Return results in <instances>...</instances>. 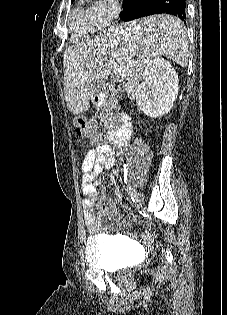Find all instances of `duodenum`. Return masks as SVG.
I'll return each instance as SVG.
<instances>
[{
  "mask_svg": "<svg viewBox=\"0 0 227 315\" xmlns=\"http://www.w3.org/2000/svg\"><path fill=\"white\" fill-rule=\"evenodd\" d=\"M132 132L131 119L128 113L121 112L115 129L110 131L109 139L116 146H123L130 140Z\"/></svg>",
  "mask_w": 227,
  "mask_h": 315,
  "instance_id": "410a0bca",
  "label": "duodenum"
}]
</instances>
